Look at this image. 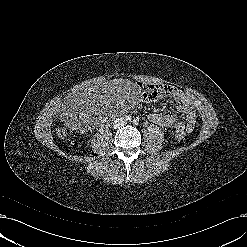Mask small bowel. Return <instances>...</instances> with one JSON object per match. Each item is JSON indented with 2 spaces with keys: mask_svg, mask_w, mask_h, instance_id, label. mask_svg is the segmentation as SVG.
<instances>
[{
  "mask_svg": "<svg viewBox=\"0 0 247 247\" xmlns=\"http://www.w3.org/2000/svg\"><path fill=\"white\" fill-rule=\"evenodd\" d=\"M152 85L158 91V96L152 100L144 97V100L153 102L160 97H171L174 99L177 105V110L183 115L182 120H177L175 116L169 112H155L148 115L151 122L172 130H183L185 132H191L194 129L196 123V113L192 102L187 96L178 88L165 85V84H143L142 88Z\"/></svg>",
  "mask_w": 247,
  "mask_h": 247,
  "instance_id": "small-bowel-1",
  "label": "small bowel"
}]
</instances>
